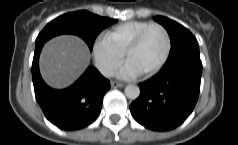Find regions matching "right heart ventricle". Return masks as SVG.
<instances>
[{
    "label": "right heart ventricle",
    "instance_id": "1",
    "mask_svg": "<svg viewBox=\"0 0 238 145\" xmlns=\"http://www.w3.org/2000/svg\"><path fill=\"white\" fill-rule=\"evenodd\" d=\"M151 24L148 21H128L109 29L104 38L117 50L124 53L130 42L136 35Z\"/></svg>",
    "mask_w": 238,
    "mask_h": 145
}]
</instances>
